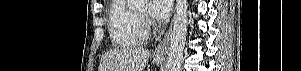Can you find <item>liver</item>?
Masks as SVG:
<instances>
[{
	"label": "liver",
	"mask_w": 301,
	"mask_h": 71,
	"mask_svg": "<svg viewBox=\"0 0 301 71\" xmlns=\"http://www.w3.org/2000/svg\"><path fill=\"white\" fill-rule=\"evenodd\" d=\"M150 52L140 47L108 52L102 60L103 71H143Z\"/></svg>",
	"instance_id": "obj_1"
}]
</instances>
